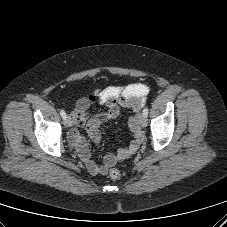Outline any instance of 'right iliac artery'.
Wrapping results in <instances>:
<instances>
[{"label": "right iliac artery", "mask_w": 227, "mask_h": 227, "mask_svg": "<svg viewBox=\"0 0 227 227\" xmlns=\"http://www.w3.org/2000/svg\"><path fill=\"white\" fill-rule=\"evenodd\" d=\"M60 114H61V116H62V118H63V119H65V118H66V113H65V111H64V110H61V111H60Z\"/></svg>", "instance_id": "1"}]
</instances>
